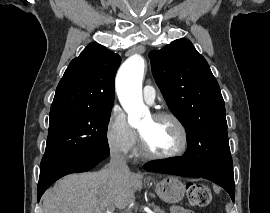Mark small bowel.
Segmentation results:
<instances>
[{
    "mask_svg": "<svg viewBox=\"0 0 270 213\" xmlns=\"http://www.w3.org/2000/svg\"><path fill=\"white\" fill-rule=\"evenodd\" d=\"M171 213H194V212L191 210L185 209L183 207L175 206L171 208Z\"/></svg>",
    "mask_w": 270,
    "mask_h": 213,
    "instance_id": "c3829d8e",
    "label": "small bowel"
}]
</instances>
